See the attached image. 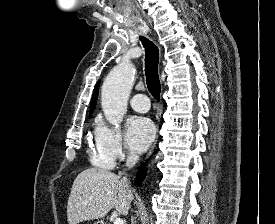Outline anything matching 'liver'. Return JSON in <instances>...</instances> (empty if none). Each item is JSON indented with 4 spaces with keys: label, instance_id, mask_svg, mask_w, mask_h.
I'll return each mask as SVG.
<instances>
[{
    "label": "liver",
    "instance_id": "6515ba94",
    "mask_svg": "<svg viewBox=\"0 0 275 224\" xmlns=\"http://www.w3.org/2000/svg\"><path fill=\"white\" fill-rule=\"evenodd\" d=\"M133 198L128 182L119 175L99 168L86 169L73 182L67 204L68 223L103 218L114 207L126 216Z\"/></svg>",
    "mask_w": 275,
    "mask_h": 224
}]
</instances>
